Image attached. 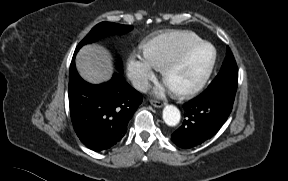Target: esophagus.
I'll list each match as a JSON object with an SVG mask.
<instances>
[{
    "instance_id": "1",
    "label": "esophagus",
    "mask_w": 288,
    "mask_h": 181,
    "mask_svg": "<svg viewBox=\"0 0 288 181\" xmlns=\"http://www.w3.org/2000/svg\"><path fill=\"white\" fill-rule=\"evenodd\" d=\"M151 105L157 108H161L164 106V103L157 101V100H151L150 101Z\"/></svg>"
}]
</instances>
